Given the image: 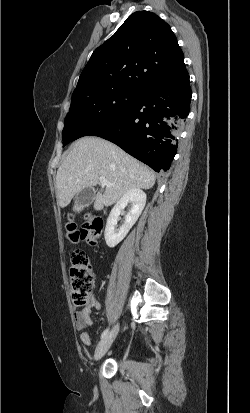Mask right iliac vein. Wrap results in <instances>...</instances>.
Returning a JSON list of instances; mask_svg holds the SVG:
<instances>
[{"label": "right iliac vein", "mask_w": 250, "mask_h": 413, "mask_svg": "<svg viewBox=\"0 0 250 413\" xmlns=\"http://www.w3.org/2000/svg\"><path fill=\"white\" fill-rule=\"evenodd\" d=\"M119 331V326L116 325L107 335L103 338L96 347L94 359L95 361L100 360L105 353L110 348L111 344L113 343L117 333Z\"/></svg>", "instance_id": "obj_1"}]
</instances>
